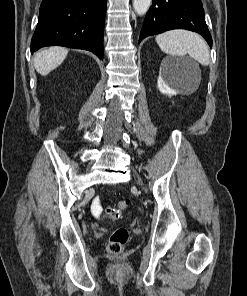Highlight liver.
<instances>
[{
    "label": "liver",
    "mask_w": 247,
    "mask_h": 296,
    "mask_svg": "<svg viewBox=\"0 0 247 296\" xmlns=\"http://www.w3.org/2000/svg\"><path fill=\"white\" fill-rule=\"evenodd\" d=\"M67 54L68 49L64 47L43 49L35 54L34 67L39 74L46 76L64 61Z\"/></svg>",
    "instance_id": "6515ba94"
}]
</instances>
